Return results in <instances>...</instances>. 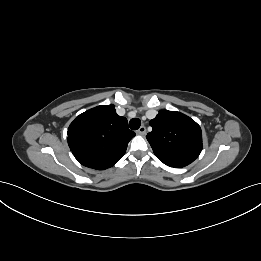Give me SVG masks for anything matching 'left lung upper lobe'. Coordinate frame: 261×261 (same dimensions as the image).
<instances>
[{"label":"left lung upper lobe","instance_id":"obj_1","mask_svg":"<svg viewBox=\"0 0 261 261\" xmlns=\"http://www.w3.org/2000/svg\"><path fill=\"white\" fill-rule=\"evenodd\" d=\"M146 138L155 156L164 164L182 168L192 163L202 150V131L190 117L176 111L160 110L150 121Z\"/></svg>","mask_w":261,"mask_h":261}]
</instances>
